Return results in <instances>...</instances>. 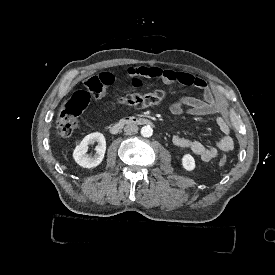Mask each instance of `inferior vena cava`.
<instances>
[{"instance_id": "1", "label": "inferior vena cava", "mask_w": 275, "mask_h": 275, "mask_svg": "<svg viewBox=\"0 0 275 275\" xmlns=\"http://www.w3.org/2000/svg\"><path fill=\"white\" fill-rule=\"evenodd\" d=\"M138 131V126L134 124H129L124 127V132L130 134Z\"/></svg>"}]
</instances>
